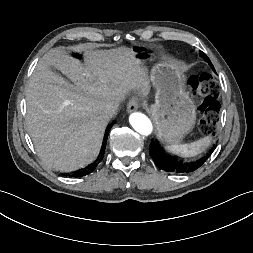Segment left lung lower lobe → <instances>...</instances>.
<instances>
[{
	"mask_svg": "<svg viewBox=\"0 0 253 253\" xmlns=\"http://www.w3.org/2000/svg\"><path fill=\"white\" fill-rule=\"evenodd\" d=\"M200 56L203 57L209 63V65L215 72V69L209 58L202 53H200ZM149 152L158 168L163 169L164 171L167 172H174V173H190L195 171L196 169H198L200 166L203 165V163L208 159V157L211 154L210 152L207 156L195 162L181 163L165 156L153 142L150 145Z\"/></svg>",
	"mask_w": 253,
	"mask_h": 253,
	"instance_id": "0a47b994",
	"label": "left lung lower lobe"
}]
</instances>
